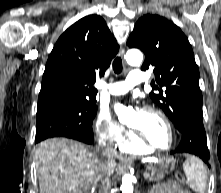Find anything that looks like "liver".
Instances as JSON below:
<instances>
[{
  "mask_svg": "<svg viewBox=\"0 0 221 193\" xmlns=\"http://www.w3.org/2000/svg\"><path fill=\"white\" fill-rule=\"evenodd\" d=\"M116 157L75 140L47 139L35 151L39 193H82L113 174Z\"/></svg>",
  "mask_w": 221,
  "mask_h": 193,
  "instance_id": "liver-1",
  "label": "liver"
}]
</instances>
